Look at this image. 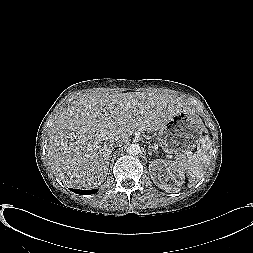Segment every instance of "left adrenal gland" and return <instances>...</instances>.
<instances>
[{
    "mask_svg": "<svg viewBox=\"0 0 253 253\" xmlns=\"http://www.w3.org/2000/svg\"><path fill=\"white\" fill-rule=\"evenodd\" d=\"M148 149L151 151V152H150V155H152V152H153L154 150L151 148V146H148Z\"/></svg>",
    "mask_w": 253,
    "mask_h": 253,
    "instance_id": "1",
    "label": "left adrenal gland"
}]
</instances>
